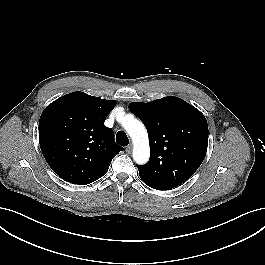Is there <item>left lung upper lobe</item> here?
Here are the masks:
<instances>
[{
    "mask_svg": "<svg viewBox=\"0 0 265 265\" xmlns=\"http://www.w3.org/2000/svg\"><path fill=\"white\" fill-rule=\"evenodd\" d=\"M149 133L151 157L137 165L141 180L160 190L186 182L203 162L208 146L205 116L184 100L168 96L129 105Z\"/></svg>",
    "mask_w": 265,
    "mask_h": 265,
    "instance_id": "obj_1",
    "label": "left lung upper lobe"
}]
</instances>
